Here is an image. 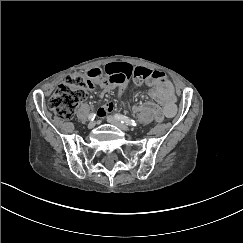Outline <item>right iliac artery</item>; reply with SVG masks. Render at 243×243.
<instances>
[{"label": "right iliac artery", "mask_w": 243, "mask_h": 243, "mask_svg": "<svg viewBox=\"0 0 243 243\" xmlns=\"http://www.w3.org/2000/svg\"><path fill=\"white\" fill-rule=\"evenodd\" d=\"M95 116H96L95 113H91L89 114L88 119L93 121L95 119Z\"/></svg>", "instance_id": "82829eb1"}]
</instances>
